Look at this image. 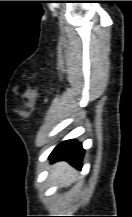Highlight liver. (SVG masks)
I'll return each instance as SVG.
<instances>
[{"instance_id":"obj_1","label":"liver","mask_w":132,"mask_h":217,"mask_svg":"<svg viewBox=\"0 0 132 217\" xmlns=\"http://www.w3.org/2000/svg\"><path fill=\"white\" fill-rule=\"evenodd\" d=\"M77 171L67 162H57L51 168L50 178L61 187H68L75 181Z\"/></svg>"}]
</instances>
